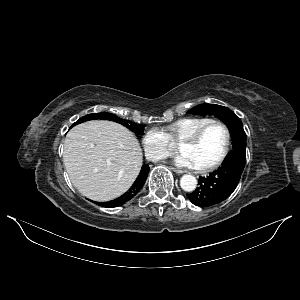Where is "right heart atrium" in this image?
Segmentation results:
<instances>
[{
  "label": "right heart atrium",
  "instance_id": "1",
  "mask_svg": "<svg viewBox=\"0 0 300 300\" xmlns=\"http://www.w3.org/2000/svg\"><path fill=\"white\" fill-rule=\"evenodd\" d=\"M142 146L149 161H159L170 154L173 144L167 133L159 128L149 129L142 137Z\"/></svg>",
  "mask_w": 300,
  "mask_h": 300
}]
</instances>
